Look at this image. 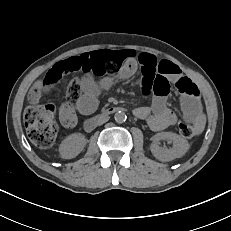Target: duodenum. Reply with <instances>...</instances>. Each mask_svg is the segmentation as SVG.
<instances>
[{
	"mask_svg": "<svg viewBox=\"0 0 231 231\" xmlns=\"http://www.w3.org/2000/svg\"><path fill=\"white\" fill-rule=\"evenodd\" d=\"M123 108L119 107V106H108L106 108H104L101 112H99L98 114L92 116L91 118L87 119L84 122V129L86 131H91L93 130L95 127H97L99 125V123L101 122V119L106 117V116H111L114 113L119 112L120 110H122Z\"/></svg>",
	"mask_w": 231,
	"mask_h": 231,
	"instance_id": "obj_1",
	"label": "duodenum"
}]
</instances>
